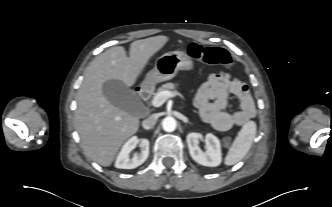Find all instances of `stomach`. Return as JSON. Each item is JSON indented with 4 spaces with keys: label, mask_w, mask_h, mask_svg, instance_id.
Listing matches in <instances>:
<instances>
[{
    "label": "stomach",
    "mask_w": 332,
    "mask_h": 207,
    "mask_svg": "<svg viewBox=\"0 0 332 207\" xmlns=\"http://www.w3.org/2000/svg\"><path fill=\"white\" fill-rule=\"evenodd\" d=\"M193 68L192 58L186 52H167L156 60L154 68L146 74L142 87L153 88L159 82L174 78L179 70L191 71Z\"/></svg>",
    "instance_id": "obj_1"
}]
</instances>
